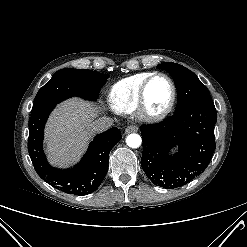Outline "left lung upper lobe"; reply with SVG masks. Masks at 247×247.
<instances>
[{
    "instance_id": "1",
    "label": "left lung upper lobe",
    "mask_w": 247,
    "mask_h": 247,
    "mask_svg": "<svg viewBox=\"0 0 247 247\" xmlns=\"http://www.w3.org/2000/svg\"><path fill=\"white\" fill-rule=\"evenodd\" d=\"M171 72L178 89L175 113L191 106L213 103L207 87L189 69L180 64L165 62L158 65Z\"/></svg>"
}]
</instances>
